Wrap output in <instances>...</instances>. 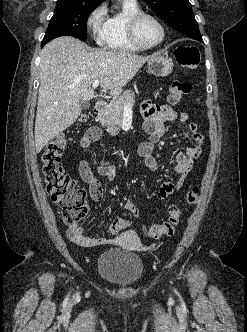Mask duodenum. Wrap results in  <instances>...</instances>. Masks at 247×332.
<instances>
[{"label":"duodenum","mask_w":247,"mask_h":332,"mask_svg":"<svg viewBox=\"0 0 247 332\" xmlns=\"http://www.w3.org/2000/svg\"><path fill=\"white\" fill-rule=\"evenodd\" d=\"M106 110V103L103 101H99L96 103L94 107V113L98 118H101Z\"/></svg>","instance_id":"410a0bca"}]
</instances>
